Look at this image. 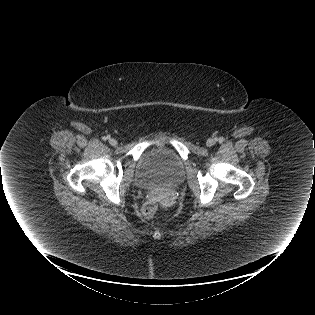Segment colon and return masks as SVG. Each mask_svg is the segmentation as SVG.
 <instances>
[{"label": "colon", "mask_w": 315, "mask_h": 315, "mask_svg": "<svg viewBox=\"0 0 315 315\" xmlns=\"http://www.w3.org/2000/svg\"><path fill=\"white\" fill-rule=\"evenodd\" d=\"M157 209L158 202L154 199H150L144 204L142 208V213L145 217L152 218L155 215Z\"/></svg>", "instance_id": "1"}]
</instances>
